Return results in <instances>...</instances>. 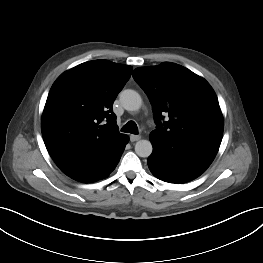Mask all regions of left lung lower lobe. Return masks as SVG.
Returning <instances> with one entry per match:
<instances>
[{"instance_id": "0a47b994", "label": "left lung lower lobe", "mask_w": 263, "mask_h": 263, "mask_svg": "<svg viewBox=\"0 0 263 263\" xmlns=\"http://www.w3.org/2000/svg\"><path fill=\"white\" fill-rule=\"evenodd\" d=\"M153 152L147 160L160 180L181 184L199 177L214 160L219 147L193 140H175L162 134L149 136Z\"/></svg>"}]
</instances>
